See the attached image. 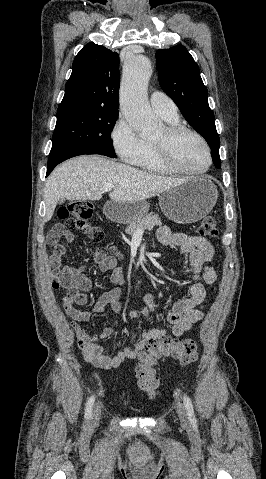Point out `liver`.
Wrapping results in <instances>:
<instances>
[{"label":"liver","mask_w":266,"mask_h":479,"mask_svg":"<svg viewBox=\"0 0 266 479\" xmlns=\"http://www.w3.org/2000/svg\"><path fill=\"white\" fill-rule=\"evenodd\" d=\"M190 178L163 177L147 173L98 155H84L60 164L47 178L44 189L45 222L60 199L100 200L104 185H113L109 197L115 202L144 201Z\"/></svg>","instance_id":"1"}]
</instances>
